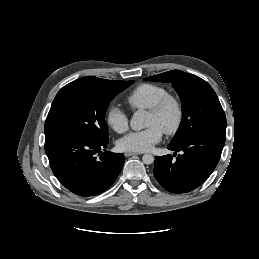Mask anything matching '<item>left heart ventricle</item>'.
I'll use <instances>...</instances> for the list:
<instances>
[{
    "mask_svg": "<svg viewBox=\"0 0 259 259\" xmlns=\"http://www.w3.org/2000/svg\"><path fill=\"white\" fill-rule=\"evenodd\" d=\"M173 120H174V110L172 107H168L166 111L160 116H155L151 113H148L146 125L147 126L157 125L163 130L165 127L170 125L173 122Z\"/></svg>",
    "mask_w": 259,
    "mask_h": 259,
    "instance_id": "left-heart-ventricle-1",
    "label": "left heart ventricle"
}]
</instances>
